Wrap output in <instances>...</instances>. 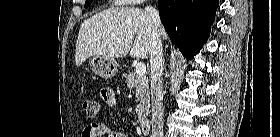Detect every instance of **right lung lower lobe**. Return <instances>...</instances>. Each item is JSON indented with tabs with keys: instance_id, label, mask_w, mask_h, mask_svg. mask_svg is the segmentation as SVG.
Instances as JSON below:
<instances>
[{
	"instance_id": "right-lung-lower-lobe-1",
	"label": "right lung lower lobe",
	"mask_w": 280,
	"mask_h": 137,
	"mask_svg": "<svg viewBox=\"0 0 280 137\" xmlns=\"http://www.w3.org/2000/svg\"><path fill=\"white\" fill-rule=\"evenodd\" d=\"M218 4V0H159L161 22L189 59L207 42Z\"/></svg>"
}]
</instances>
